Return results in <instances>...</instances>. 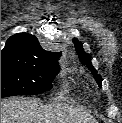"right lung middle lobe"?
<instances>
[{
	"label": "right lung middle lobe",
	"mask_w": 122,
	"mask_h": 123,
	"mask_svg": "<svg viewBox=\"0 0 122 123\" xmlns=\"http://www.w3.org/2000/svg\"><path fill=\"white\" fill-rule=\"evenodd\" d=\"M58 72V65L53 63L1 59V98L46 92Z\"/></svg>",
	"instance_id": "right-lung-middle-lobe-1"
}]
</instances>
